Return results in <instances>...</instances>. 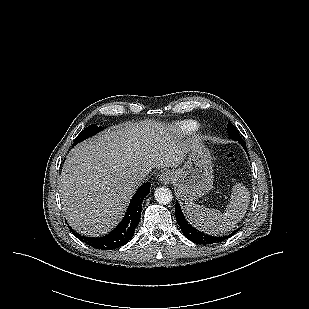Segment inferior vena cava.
<instances>
[{"label":"inferior vena cava","instance_id":"obj_1","mask_svg":"<svg viewBox=\"0 0 309 309\" xmlns=\"http://www.w3.org/2000/svg\"><path fill=\"white\" fill-rule=\"evenodd\" d=\"M146 175H147L146 172L141 171L139 173L134 174L132 176V180L135 184L140 185L144 181Z\"/></svg>","mask_w":309,"mask_h":309}]
</instances>
